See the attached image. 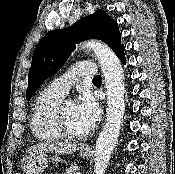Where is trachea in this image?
Listing matches in <instances>:
<instances>
[{
  "mask_svg": "<svg viewBox=\"0 0 175 174\" xmlns=\"http://www.w3.org/2000/svg\"><path fill=\"white\" fill-rule=\"evenodd\" d=\"M102 79L101 75L95 76L93 81H100Z\"/></svg>",
  "mask_w": 175,
  "mask_h": 174,
  "instance_id": "obj_1",
  "label": "trachea"
}]
</instances>
